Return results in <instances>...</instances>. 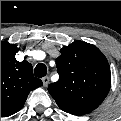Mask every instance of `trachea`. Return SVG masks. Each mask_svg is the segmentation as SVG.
Here are the masks:
<instances>
[{"instance_id":"trachea-1","label":"trachea","mask_w":121,"mask_h":121,"mask_svg":"<svg viewBox=\"0 0 121 121\" xmlns=\"http://www.w3.org/2000/svg\"><path fill=\"white\" fill-rule=\"evenodd\" d=\"M47 74V67L40 63L35 67V76L36 77H44Z\"/></svg>"}]
</instances>
